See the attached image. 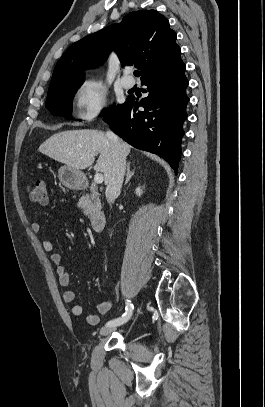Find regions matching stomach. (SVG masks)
Masks as SVG:
<instances>
[{"mask_svg":"<svg viewBox=\"0 0 265 407\" xmlns=\"http://www.w3.org/2000/svg\"><path fill=\"white\" fill-rule=\"evenodd\" d=\"M58 177L60 182L69 189L79 188L85 180V175L80 170L67 165L58 170Z\"/></svg>","mask_w":265,"mask_h":407,"instance_id":"0dacf381","label":"stomach"}]
</instances>
